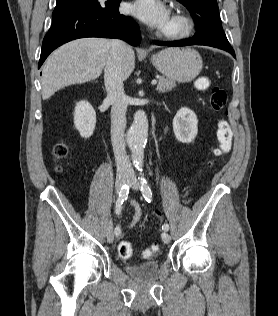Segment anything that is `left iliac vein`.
Returning a JSON list of instances; mask_svg holds the SVG:
<instances>
[{"label":"left iliac vein","instance_id":"4c4485c4","mask_svg":"<svg viewBox=\"0 0 278 316\" xmlns=\"http://www.w3.org/2000/svg\"><path fill=\"white\" fill-rule=\"evenodd\" d=\"M127 183L132 189H134V190H138L139 189V183H138V181H137V179H136V177H135V175L133 173H131L128 176ZM161 238H162L163 242L167 243V244L171 241V236L166 231H164L161 234Z\"/></svg>","mask_w":278,"mask_h":316}]
</instances>
